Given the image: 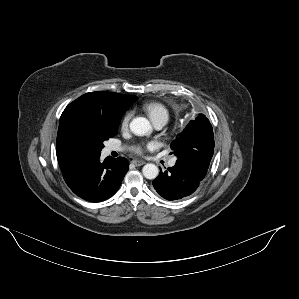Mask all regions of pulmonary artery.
Returning a JSON list of instances; mask_svg holds the SVG:
<instances>
[{
  "mask_svg": "<svg viewBox=\"0 0 299 299\" xmlns=\"http://www.w3.org/2000/svg\"><path fill=\"white\" fill-rule=\"evenodd\" d=\"M166 123H167V119L162 118V119H159V120L155 121L154 126H155L156 129H161ZM108 150L110 152H112V151H121L122 148L117 146V145H111V146H109ZM175 163H176V159L172 158L168 161V166L172 167V166L175 165Z\"/></svg>",
  "mask_w": 299,
  "mask_h": 299,
  "instance_id": "e3ab8cb5",
  "label": "pulmonary artery"
}]
</instances>
